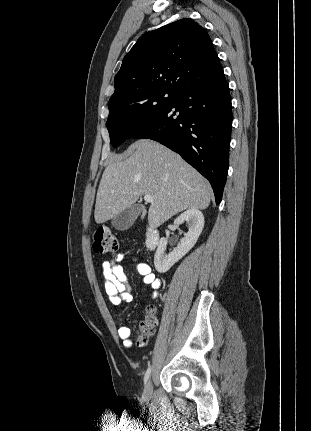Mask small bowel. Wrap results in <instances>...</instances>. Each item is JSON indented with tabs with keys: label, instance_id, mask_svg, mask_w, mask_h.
I'll return each instance as SVG.
<instances>
[{
	"label": "small bowel",
	"instance_id": "1",
	"mask_svg": "<svg viewBox=\"0 0 311 431\" xmlns=\"http://www.w3.org/2000/svg\"><path fill=\"white\" fill-rule=\"evenodd\" d=\"M124 259L125 255L120 253L116 255L114 259L104 261L102 263V276L105 291L111 304L114 306H120L123 302H131L133 299L131 288L127 283L126 273L120 265V262ZM132 262L135 264L136 273L143 277L144 283L151 286V296L156 298L160 287L159 279L155 277L151 267L147 263L141 261L138 257H132ZM118 336L125 347H130L132 345V341L130 339L131 330L127 326H119Z\"/></svg>",
	"mask_w": 311,
	"mask_h": 431
}]
</instances>
